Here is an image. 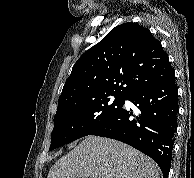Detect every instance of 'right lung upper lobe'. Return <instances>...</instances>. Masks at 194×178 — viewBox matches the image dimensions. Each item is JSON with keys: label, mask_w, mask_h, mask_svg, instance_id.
I'll return each instance as SVG.
<instances>
[{"label": "right lung upper lobe", "mask_w": 194, "mask_h": 178, "mask_svg": "<svg viewBox=\"0 0 194 178\" xmlns=\"http://www.w3.org/2000/svg\"><path fill=\"white\" fill-rule=\"evenodd\" d=\"M174 74L161 43L151 32L128 22L113 28L74 64L58 110L103 95L128 97Z\"/></svg>", "instance_id": "1"}]
</instances>
